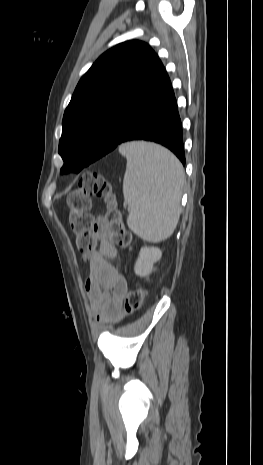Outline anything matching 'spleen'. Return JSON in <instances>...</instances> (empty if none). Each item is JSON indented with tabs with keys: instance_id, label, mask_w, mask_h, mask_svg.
<instances>
[{
	"instance_id": "spleen-1",
	"label": "spleen",
	"mask_w": 263,
	"mask_h": 465,
	"mask_svg": "<svg viewBox=\"0 0 263 465\" xmlns=\"http://www.w3.org/2000/svg\"><path fill=\"white\" fill-rule=\"evenodd\" d=\"M123 194L128 227L142 239L159 242L172 235L180 216L185 181L180 161L167 149L146 142L125 143Z\"/></svg>"
}]
</instances>
